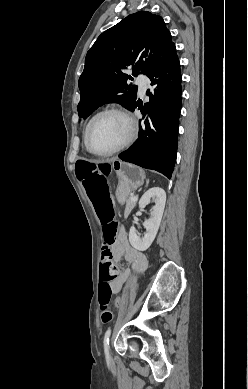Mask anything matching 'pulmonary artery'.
<instances>
[{
  "label": "pulmonary artery",
  "mask_w": 248,
  "mask_h": 389,
  "mask_svg": "<svg viewBox=\"0 0 248 389\" xmlns=\"http://www.w3.org/2000/svg\"><path fill=\"white\" fill-rule=\"evenodd\" d=\"M136 82L137 84L139 85V91L141 94H144L147 86H148V83H149V79L147 76L145 75H139L137 78H136Z\"/></svg>",
  "instance_id": "e3ab8cb5"
}]
</instances>
